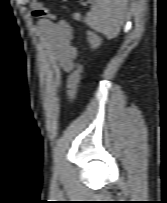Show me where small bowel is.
<instances>
[{
    "mask_svg": "<svg viewBox=\"0 0 167 203\" xmlns=\"http://www.w3.org/2000/svg\"><path fill=\"white\" fill-rule=\"evenodd\" d=\"M37 31L41 35L51 61L63 72L74 69L77 50L70 42V27L65 22L58 24L47 19L37 22Z\"/></svg>",
    "mask_w": 167,
    "mask_h": 203,
    "instance_id": "small-bowel-1",
    "label": "small bowel"
}]
</instances>
